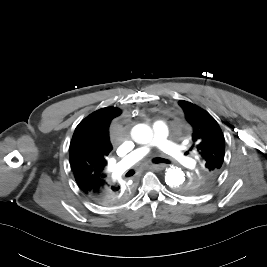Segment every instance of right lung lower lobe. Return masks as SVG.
I'll return each mask as SVG.
<instances>
[{"label":"right lung lower lobe","instance_id":"right-lung-lower-lobe-1","mask_svg":"<svg viewBox=\"0 0 267 267\" xmlns=\"http://www.w3.org/2000/svg\"><path fill=\"white\" fill-rule=\"evenodd\" d=\"M95 203L103 206H117L126 202L131 196V189L118 184H109L95 193L86 194Z\"/></svg>","mask_w":267,"mask_h":267}]
</instances>
